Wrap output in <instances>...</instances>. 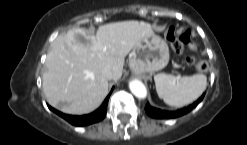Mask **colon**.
Instances as JSON below:
<instances>
[{
	"mask_svg": "<svg viewBox=\"0 0 247 145\" xmlns=\"http://www.w3.org/2000/svg\"><path fill=\"white\" fill-rule=\"evenodd\" d=\"M166 37L172 42L174 50L178 54L182 55L189 65L195 66V68L201 72L208 70L207 62L203 60H197L196 57L190 53L191 51H196V45L192 41L189 31H186L180 36L176 37L174 29L171 28L167 31Z\"/></svg>",
	"mask_w": 247,
	"mask_h": 145,
	"instance_id": "1",
	"label": "colon"
}]
</instances>
